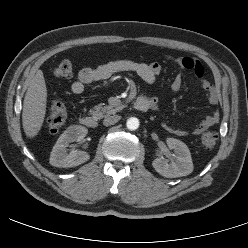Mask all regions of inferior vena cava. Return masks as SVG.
<instances>
[{
    "label": "inferior vena cava",
    "mask_w": 248,
    "mask_h": 248,
    "mask_svg": "<svg viewBox=\"0 0 248 248\" xmlns=\"http://www.w3.org/2000/svg\"><path fill=\"white\" fill-rule=\"evenodd\" d=\"M121 119V116L113 115V116H106L103 120V124L105 126L113 125L117 123Z\"/></svg>",
    "instance_id": "inferior-vena-cava-1"
}]
</instances>
